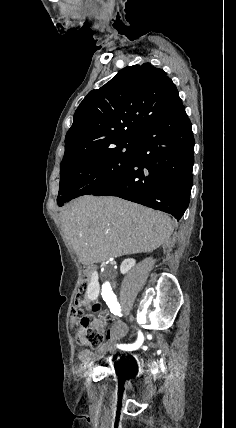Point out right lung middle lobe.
<instances>
[{
	"instance_id": "dd1d6c3e",
	"label": "right lung middle lobe",
	"mask_w": 236,
	"mask_h": 428,
	"mask_svg": "<svg viewBox=\"0 0 236 428\" xmlns=\"http://www.w3.org/2000/svg\"><path fill=\"white\" fill-rule=\"evenodd\" d=\"M135 141L125 140L60 170L57 204L93 194L110 184L133 162Z\"/></svg>"
}]
</instances>
